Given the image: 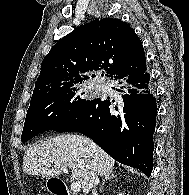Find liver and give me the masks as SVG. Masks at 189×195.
<instances>
[{
	"mask_svg": "<svg viewBox=\"0 0 189 195\" xmlns=\"http://www.w3.org/2000/svg\"><path fill=\"white\" fill-rule=\"evenodd\" d=\"M60 164L72 169V177L80 182L84 194L93 186L95 176L112 172L115 160L89 138L63 134L28 148L23 156V172L42 177H58Z\"/></svg>",
	"mask_w": 189,
	"mask_h": 195,
	"instance_id": "liver-1",
	"label": "liver"
}]
</instances>
